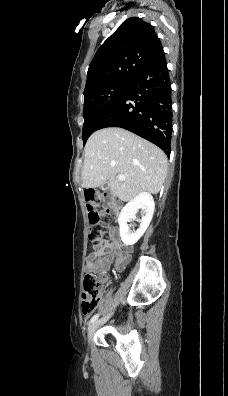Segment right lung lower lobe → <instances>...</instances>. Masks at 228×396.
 <instances>
[{
    "mask_svg": "<svg viewBox=\"0 0 228 396\" xmlns=\"http://www.w3.org/2000/svg\"><path fill=\"white\" fill-rule=\"evenodd\" d=\"M171 83L163 48L130 83L97 130L121 127L160 147L170 156L172 133Z\"/></svg>",
    "mask_w": 228,
    "mask_h": 396,
    "instance_id": "1",
    "label": "right lung lower lobe"
}]
</instances>
